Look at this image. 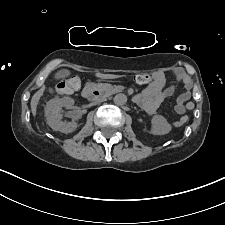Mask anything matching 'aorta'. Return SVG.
<instances>
[{"label": "aorta", "mask_w": 225, "mask_h": 225, "mask_svg": "<svg viewBox=\"0 0 225 225\" xmlns=\"http://www.w3.org/2000/svg\"><path fill=\"white\" fill-rule=\"evenodd\" d=\"M113 101L115 105L123 106L127 103V96L123 93L116 94Z\"/></svg>", "instance_id": "aorta-1"}]
</instances>
